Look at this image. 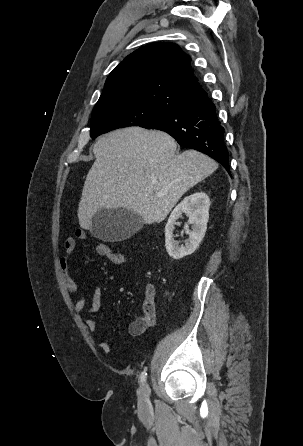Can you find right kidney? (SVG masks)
<instances>
[{"mask_svg": "<svg viewBox=\"0 0 303 446\" xmlns=\"http://www.w3.org/2000/svg\"><path fill=\"white\" fill-rule=\"evenodd\" d=\"M209 197L204 192H197L185 197L172 211L165 227V246L170 257L179 260L192 254L205 236L209 219ZM185 213L189 217L192 230L185 225L184 229L189 238L185 245L179 247V243L173 239V230L176 220Z\"/></svg>", "mask_w": 303, "mask_h": 446, "instance_id": "right-kidney-1", "label": "right kidney"}]
</instances>
